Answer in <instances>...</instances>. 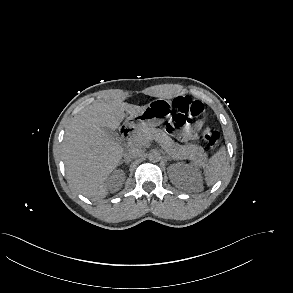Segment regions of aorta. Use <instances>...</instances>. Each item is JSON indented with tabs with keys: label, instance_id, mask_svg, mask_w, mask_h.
I'll return each mask as SVG.
<instances>
[{
	"label": "aorta",
	"instance_id": "aorta-1",
	"mask_svg": "<svg viewBox=\"0 0 293 293\" xmlns=\"http://www.w3.org/2000/svg\"><path fill=\"white\" fill-rule=\"evenodd\" d=\"M148 159L154 163L159 162L161 160V154L158 150H151L148 153Z\"/></svg>",
	"mask_w": 293,
	"mask_h": 293
}]
</instances>
